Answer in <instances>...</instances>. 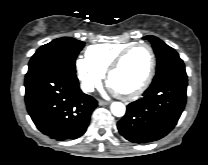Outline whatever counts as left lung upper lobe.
<instances>
[{
  "instance_id": "5c2ea615",
  "label": "left lung upper lobe",
  "mask_w": 208,
  "mask_h": 165,
  "mask_svg": "<svg viewBox=\"0 0 208 165\" xmlns=\"http://www.w3.org/2000/svg\"><path fill=\"white\" fill-rule=\"evenodd\" d=\"M144 39L149 40L157 57V71L168 66L171 63L182 61L178 53L155 36H145Z\"/></svg>"
}]
</instances>
